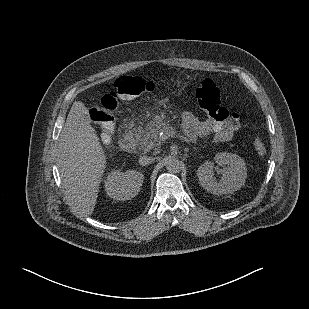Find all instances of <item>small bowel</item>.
Here are the masks:
<instances>
[{"label":"small bowel","instance_id":"c3829d8e","mask_svg":"<svg viewBox=\"0 0 309 309\" xmlns=\"http://www.w3.org/2000/svg\"><path fill=\"white\" fill-rule=\"evenodd\" d=\"M183 127L190 141L212 135L216 142H227L233 138L236 131L234 126L219 124L209 119L200 120L191 113L184 115Z\"/></svg>","mask_w":309,"mask_h":309}]
</instances>
